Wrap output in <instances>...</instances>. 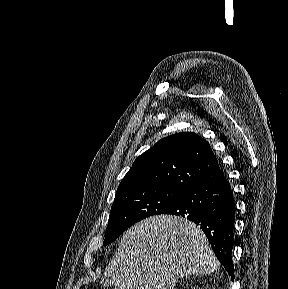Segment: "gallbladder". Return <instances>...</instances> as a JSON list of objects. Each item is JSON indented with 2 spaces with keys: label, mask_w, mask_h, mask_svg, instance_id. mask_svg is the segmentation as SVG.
Returning <instances> with one entry per match:
<instances>
[{
  "label": "gallbladder",
  "mask_w": 288,
  "mask_h": 289,
  "mask_svg": "<svg viewBox=\"0 0 288 289\" xmlns=\"http://www.w3.org/2000/svg\"><path fill=\"white\" fill-rule=\"evenodd\" d=\"M102 285L105 286V287H107V286H109L110 284H109L107 281H103Z\"/></svg>",
  "instance_id": "gallbladder-1"
}]
</instances>
